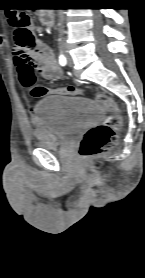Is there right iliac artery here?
<instances>
[{"label": "right iliac artery", "mask_w": 145, "mask_h": 278, "mask_svg": "<svg viewBox=\"0 0 145 278\" xmlns=\"http://www.w3.org/2000/svg\"><path fill=\"white\" fill-rule=\"evenodd\" d=\"M59 63H60V65H62V66L66 65L67 60H66V58H65L64 55H60V57H59Z\"/></svg>", "instance_id": "obj_1"}]
</instances>
